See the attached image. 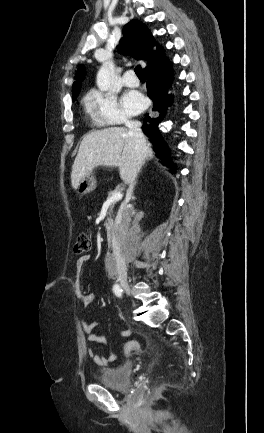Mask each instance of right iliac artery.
<instances>
[{
	"mask_svg": "<svg viewBox=\"0 0 264 433\" xmlns=\"http://www.w3.org/2000/svg\"><path fill=\"white\" fill-rule=\"evenodd\" d=\"M113 292L115 293V295H116L117 297H121V296H122V292H123V290H122V288H121L118 284H115V285L113 286Z\"/></svg>",
	"mask_w": 264,
	"mask_h": 433,
	"instance_id": "right-iliac-artery-1",
	"label": "right iliac artery"
}]
</instances>
